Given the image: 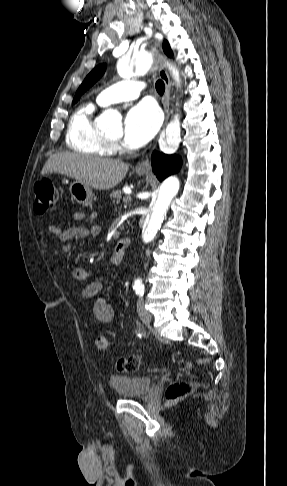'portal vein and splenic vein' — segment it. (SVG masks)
I'll return each mask as SVG.
<instances>
[{
    "mask_svg": "<svg viewBox=\"0 0 287 486\" xmlns=\"http://www.w3.org/2000/svg\"><path fill=\"white\" fill-rule=\"evenodd\" d=\"M123 201H124L125 203L130 202V201H131V197H125V198H123Z\"/></svg>",
    "mask_w": 287,
    "mask_h": 486,
    "instance_id": "1",
    "label": "portal vein and splenic vein"
}]
</instances>
